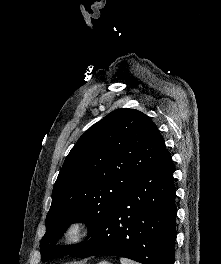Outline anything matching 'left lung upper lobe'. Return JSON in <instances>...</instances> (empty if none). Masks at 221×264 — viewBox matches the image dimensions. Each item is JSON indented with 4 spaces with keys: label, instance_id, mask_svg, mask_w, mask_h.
Here are the masks:
<instances>
[{
    "label": "left lung upper lobe",
    "instance_id": "1",
    "mask_svg": "<svg viewBox=\"0 0 221 264\" xmlns=\"http://www.w3.org/2000/svg\"><path fill=\"white\" fill-rule=\"evenodd\" d=\"M166 150L153 121L121 108L91 126L66 157L52 191L41 240L42 260L70 255L83 243L58 246L74 222H85L90 236L127 190Z\"/></svg>",
    "mask_w": 221,
    "mask_h": 264
}]
</instances>
